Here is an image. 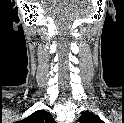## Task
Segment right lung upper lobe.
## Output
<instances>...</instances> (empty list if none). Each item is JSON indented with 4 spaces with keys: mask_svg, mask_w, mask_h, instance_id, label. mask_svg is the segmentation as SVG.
<instances>
[{
    "mask_svg": "<svg viewBox=\"0 0 124 123\" xmlns=\"http://www.w3.org/2000/svg\"><path fill=\"white\" fill-rule=\"evenodd\" d=\"M21 122L23 123H55L52 115L45 111L39 110L23 119Z\"/></svg>",
    "mask_w": 124,
    "mask_h": 123,
    "instance_id": "right-lung-upper-lobe-1",
    "label": "right lung upper lobe"
}]
</instances>
